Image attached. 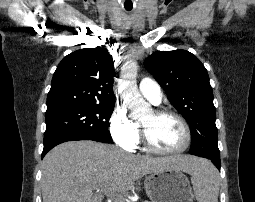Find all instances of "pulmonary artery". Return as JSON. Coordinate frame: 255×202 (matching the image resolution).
<instances>
[{
	"label": "pulmonary artery",
	"mask_w": 255,
	"mask_h": 202,
	"mask_svg": "<svg viewBox=\"0 0 255 202\" xmlns=\"http://www.w3.org/2000/svg\"><path fill=\"white\" fill-rule=\"evenodd\" d=\"M141 94L153 104H159L162 99V92L159 84L150 78H143L139 83Z\"/></svg>",
	"instance_id": "obj_1"
}]
</instances>
